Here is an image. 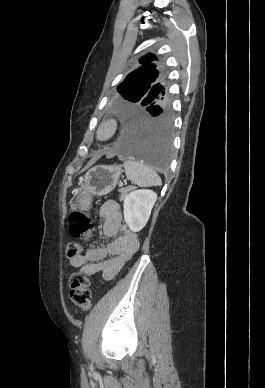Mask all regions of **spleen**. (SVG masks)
<instances>
[{"mask_svg": "<svg viewBox=\"0 0 265 388\" xmlns=\"http://www.w3.org/2000/svg\"><path fill=\"white\" fill-rule=\"evenodd\" d=\"M124 168L127 180H131L132 184H136L140 188L161 186V178L153 168H149L144 162H136L133 158H129L127 162H124Z\"/></svg>", "mask_w": 265, "mask_h": 388, "instance_id": "3e777b00", "label": "spleen"}]
</instances>
